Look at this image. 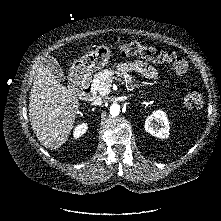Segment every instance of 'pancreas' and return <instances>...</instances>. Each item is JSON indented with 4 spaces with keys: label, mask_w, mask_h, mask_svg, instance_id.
<instances>
[{
    "label": "pancreas",
    "mask_w": 221,
    "mask_h": 221,
    "mask_svg": "<svg viewBox=\"0 0 221 221\" xmlns=\"http://www.w3.org/2000/svg\"><path fill=\"white\" fill-rule=\"evenodd\" d=\"M116 74L117 77H124L125 84L128 89L133 90L135 88L140 89V85L134 84L132 85V78L128 75H123L118 72H114L113 70L104 69L97 74L94 75L93 79V87L96 91L99 92L100 95H106L110 92V81L113 79Z\"/></svg>",
    "instance_id": "obj_1"
}]
</instances>
